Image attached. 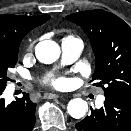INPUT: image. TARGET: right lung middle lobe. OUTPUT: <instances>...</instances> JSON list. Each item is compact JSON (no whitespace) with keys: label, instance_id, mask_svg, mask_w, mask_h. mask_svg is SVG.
I'll return each mask as SVG.
<instances>
[{"label":"right lung middle lobe","instance_id":"dd1d6c3e","mask_svg":"<svg viewBox=\"0 0 131 131\" xmlns=\"http://www.w3.org/2000/svg\"><path fill=\"white\" fill-rule=\"evenodd\" d=\"M20 42L21 39L12 43L0 42V90L6 87L7 71L17 63Z\"/></svg>","mask_w":131,"mask_h":131}]
</instances>
